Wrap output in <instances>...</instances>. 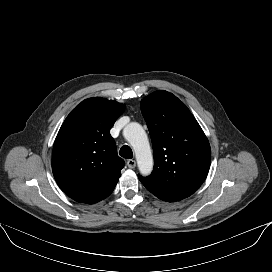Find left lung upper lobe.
<instances>
[{
  "label": "left lung upper lobe",
  "instance_id": "1",
  "mask_svg": "<svg viewBox=\"0 0 272 272\" xmlns=\"http://www.w3.org/2000/svg\"><path fill=\"white\" fill-rule=\"evenodd\" d=\"M153 145L154 169L139 175L158 198L180 201L195 193L207 177L211 149L202 128L187 106L172 93L155 91L141 101Z\"/></svg>",
  "mask_w": 272,
  "mask_h": 272
}]
</instances>
